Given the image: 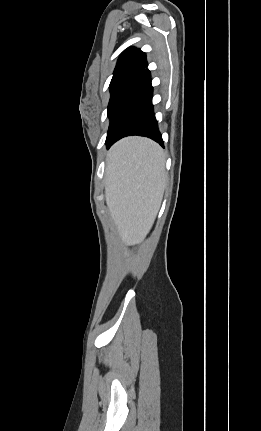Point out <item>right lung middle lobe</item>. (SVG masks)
<instances>
[{"instance_id":"obj_1","label":"right lung middle lobe","mask_w":261,"mask_h":431,"mask_svg":"<svg viewBox=\"0 0 261 431\" xmlns=\"http://www.w3.org/2000/svg\"><path fill=\"white\" fill-rule=\"evenodd\" d=\"M139 74L140 73H137V72L128 73V74L120 76L114 80H111V83L109 86L110 92H111V97H110V101H109V105H108V117L110 119L109 129H110V126L112 124V121H113V118L115 115V111L120 104V101L122 100L124 95L127 93V91L129 90V88L131 87L133 82L136 80V78L139 76ZM109 129H108V135H107L106 142L108 141L109 136H110Z\"/></svg>"}]
</instances>
